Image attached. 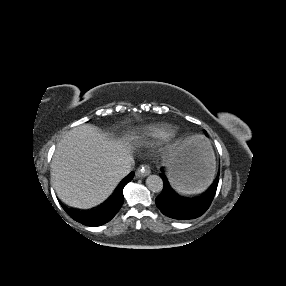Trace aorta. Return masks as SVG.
<instances>
[{
    "label": "aorta",
    "mask_w": 286,
    "mask_h": 286,
    "mask_svg": "<svg viewBox=\"0 0 286 286\" xmlns=\"http://www.w3.org/2000/svg\"><path fill=\"white\" fill-rule=\"evenodd\" d=\"M146 185L152 192H161L163 189V180L158 175H149L146 179Z\"/></svg>",
    "instance_id": "1"
}]
</instances>
